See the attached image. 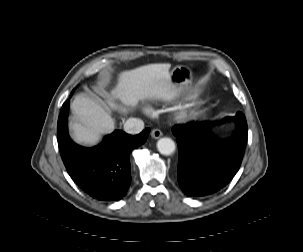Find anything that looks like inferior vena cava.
I'll use <instances>...</instances> for the list:
<instances>
[{"label":"inferior vena cava","instance_id":"inferior-vena-cava-1","mask_svg":"<svg viewBox=\"0 0 303 252\" xmlns=\"http://www.w3.org/2000/svg\"><path fill=\"white\" fill-rule=\"evenodd\" d=\"M144 129V122L138 118H129L124 123V130L129 134H138Z\"/></svg>","mask_w":303,"mask_h":252}]
</instances>
